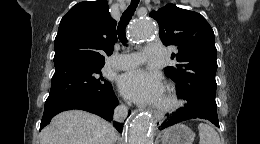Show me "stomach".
<instances>
[{
    "label": "stomach",
    "mask_w": 260,
    "mask_h": 144,
    "mask_svg": "<svg viewBox=\"0 0 260 144\" xmlns=\"http://www.w3.org/2000/svg\"><path fill=\"white\" fill-rule=\"evenodd\" d=\"M194 132L184 124H176L164 130L162 144H193Z\"/></svg>",
    "instance_id": "obj_1"
}]
</instances>
